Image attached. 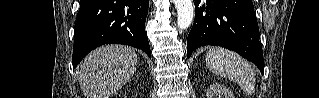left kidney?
<instances>
[{"label":"left kidney","instance_id":"5707ae66","mask_svg":"<svg viewBox=\"0 0 319 98\" xmlns=\"http://www.w3.org/2000/svg\"><path fill=\"white\" fill-rule=\"evenodd\" d=\"M206 98H234L229 88L222 84H213L206 91Z\"/></svg>","mask_w":319,"mask_h":98}]
</instances>
